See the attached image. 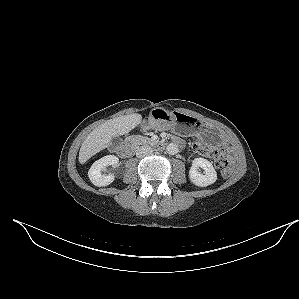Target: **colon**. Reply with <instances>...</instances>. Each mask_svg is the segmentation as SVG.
I'll use <instances>...</instances> for the list:
<instances>
[{
    "mask_svg": "<svg viewBox=\"0 0 299 299\" xmlns=\"http://www.w3.org/2000/svg\"><path fill=\"white\" fill-rule=\"evenodd\" d=\"M193 148L202 155L211 157L215 166L221 170L223 176H228L231 173V168L225 157L223 150L211 148L196 141L193 143Z\"/></svg>",
    "mask_w": 299,
    "mask_h": 299,
    "instance_id": "obj_1",
    "label": "colon"
}]
</instances>
